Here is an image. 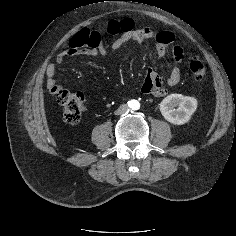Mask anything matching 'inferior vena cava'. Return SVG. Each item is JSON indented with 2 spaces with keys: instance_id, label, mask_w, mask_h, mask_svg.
Here are the masks:
<instances>
[{
  "instance_id": "inferior-vena-cava-1",
  "label": "inferior vena cava",
  "mask_w": 236,
  "mask_h": 236,
  "mask_svg": "<svg viewBox=\"0 0 236 236\" xmlns=\"http://www.w3.org/2000/svg\"><path fill=\"white\" fill-rule=\"evenodd\" d=\"M128 110V106L126 104L120 105V107L115 111L116 115H121L126 113Z\"/></svg>"
}]
</instances>
